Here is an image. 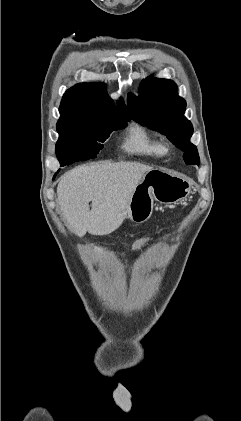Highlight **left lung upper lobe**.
<instances>
[{"instance_id":"1","label":"left lung upper lobe","mask_w":241,"mask_h":421,"mask_svg":"<svg viewBox=\"0 0 241 421\" xmlns=\"http://www.w3.org/2000/svg\"><path fill=\"white\" fill-rule=\"evenodd\" d=\"M172 80L148 77L142 81L140 95L128 94L132 118L141 125L158 130L184 151L187 165L199 163L197 148L190 142L193 127L184 116L186 102L177 95Z\"/></svg>"}]
</instances>
